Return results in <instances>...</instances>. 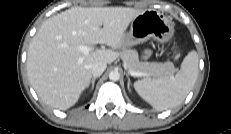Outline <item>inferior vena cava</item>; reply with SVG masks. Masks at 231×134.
<instances>
[{"label":"inferior vena cava","instance_id":"inferior-vena-cava-1","mask_svg":"<svg viewBox=\"0 0 231 134\" xmlns=\"http://www.w3.org/2000/svg\"><path fill=\"white\" fill-rule=\"evenodd\" d=\"M107 67V64L105 62H101V61H98V62H95L91 65V72H92V75L95 77V76H100L106 69Z\"/></svg>","mask_w":231,"mask_h":134}]
</instances>
